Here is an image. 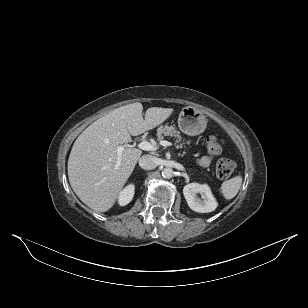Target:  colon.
Returning a JSON list of instances; mask_svg holds the SVG:
<instances>
[{"label":"colon","instance_id":"colon-1","mask_svg":"<svg viewBox=\"0 0 308 308\" xmlns=\"http://www.w3.org/2000/svg\"><path fill=\"white\" fill-rule=\"evenodd\" d=\"M206 150L209 154L217 155L222 151V143L215 136H209L205 142ZM235 169V164L229 159H221L216 165V175L220 179L229 178Z\"/></svg>","mask_w":308,"mask_h":308}]
</instances>
